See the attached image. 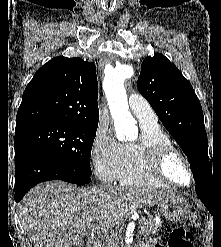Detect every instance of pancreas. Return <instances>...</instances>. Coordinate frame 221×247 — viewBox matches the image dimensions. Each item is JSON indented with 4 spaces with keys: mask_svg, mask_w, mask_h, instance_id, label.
<instances>
[{
    "mask_svg": "<svg viewBox=\"0 0 221 247\" xmlns=\"http://www.w3.org/2000/svg\"><path fill=\"white\" fill-rule=\"evenodd\" d=\"M159 227L160 224L156 223L153 217L149 216L148 218H141L139 220L138 233L142 236H149L157 233ZM100 247H117V243L114 239H108L106 242L102 243Z\"/></svg>",
    "mask_w": 221,
    "mask_h": 247,
    "instance_id": "pancreas-1",
    "label": "pancreas"
}]
</instances>
